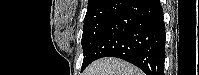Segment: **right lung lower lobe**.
<instances>
[{
  "instance_id": "obj_1",
  "label": "right lung lower lobe",
  "mask_w": 199,
  "mask_h": 75,
  "mask_svg": "<svg viewBox=\"0 0 199 75\" xmlns=\"http://www.w3.org/2000/svg\"><path fill=\"white\" fill-rule=\"evenodd\" d=\"M163 20L159 0H128L95 44L89 64L102 57H118L146 75H164Z\"/></svg>"
}]
</instances>
